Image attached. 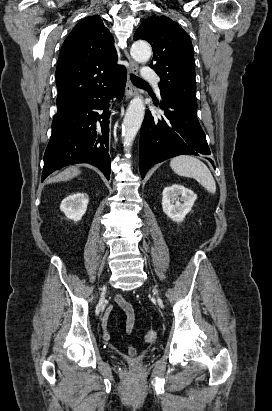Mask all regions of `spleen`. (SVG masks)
<instances>
[{
  "instance_id": "1",
  "label": "spleen",
  "mask_w": 272,
  "mask_h": 411,
  "mask_svg": "<svg viewBox=\"0 0 272 411\" xmlns=\"http://www.w3.org/2000/svg\"><path fill=\"white\" fill-rule=\"evenodd\" d=\"M170 167L179 176L194 178L208 192L215 194L216 183L209 168L199 159L181 155L171 159Z\"/></svg>"
}]
</instances>
